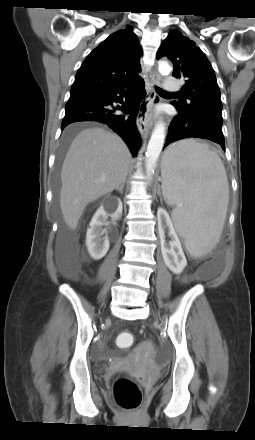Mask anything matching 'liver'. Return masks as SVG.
Here are the masks:
<instances>
[{
    "label": "liver",
    "instance_id": "liver-1",
    "mask_svg": "<svg viewBox=\"0 0 255 440\" xmlns=\"http://www.w3.org/2000/svg\"><path fill=\"white\" fill-rule=\"evenodd\" d=\"M131 154L115 133L100 127L82 130L71 143L61 170L60 208L74 230L88 203L125 180ZM166 164H162V172Z\"/></svg>",
    "mask_w": 255,
    "mask_h": 440
}]
</instances>
